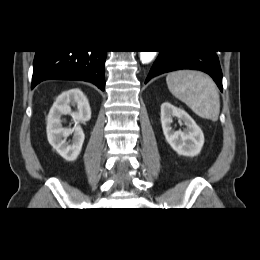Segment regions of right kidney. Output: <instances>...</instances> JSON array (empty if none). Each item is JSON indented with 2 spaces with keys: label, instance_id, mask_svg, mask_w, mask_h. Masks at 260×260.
<instances>
[{
  "label": "right kidney",
  "instance_id": "right-kidney-1",
  "mask_svg": "<svg viewBox=\"0 0 260 260\" xmlns=\"http://www.w3.org/2000/svg\"><path fill=\"white\" fill-rule=\"evenodd\" d=\"M71 106L76 107L72 111ZM62 115H71L75 126L71 129L63 128ZM91 119V109L87 97L80 89L63 92L50 109L47 118V138L51 146L67 161H74L81 152L84 133L79 125ZM73 134L71 143L66 139Z\"/></svg>",
  "mask_w": 260,
  "mask_h": 260
}]
</instances>
